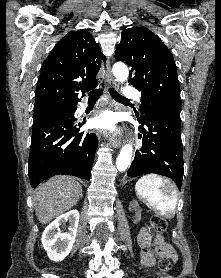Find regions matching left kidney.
Returning a JSON list of instances; mask_svg holds the SVG:
<instances>
[{
  "label": "left kidney",
  "mask_w": 221,
  "mask_h": 278,
  "mask_svg": "<svg viewBox=\"0 0 221 278\" xmlns=\"http://www.w3.org/2000/svg\"><path fill=\"white\" fill-rule=\"evenodd\" d=\"M130 207L135 209V211H136V218H137V221H139L140 218H141V209L139 207V204L136 201H132L130 203Z\"/></svg>",
  "instance_id": "left-kidney-1"
}]
</instances>
